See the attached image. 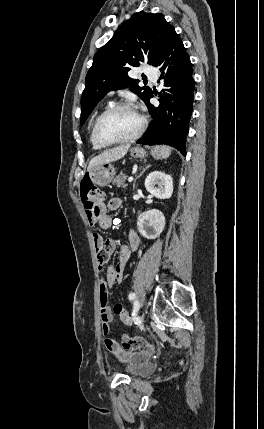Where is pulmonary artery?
Listing matches in <instances>:
<instances>
[{"label": "pulmonary artery", "instance_id": "1", "mask_svg": "<svg viewBox=\"0 0 264 429\" xmlns=\"http://www.w3.org/2000/svg\"><path fill=\"white\" fill-rule=\"evenodd\" d=\"M143 72L152 81H156L158 78L157 70L152 66H145Z\"/></svg>", "mask_w": 264, "mask_h": 429}]
</instances>
